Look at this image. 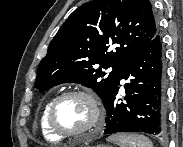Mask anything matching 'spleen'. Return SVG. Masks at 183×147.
I'll return each mask as SVG.
<instances>
[{"label":"spleen","mask_w":183,"mask_h":147,"mask_svg":"<svg viewBox=\"0 0 183 147\" xmlns=\"http://www.w3.org/2000/svg\"><path fill=\"white\" fill-rule=\"evenodd\" d=\"M107 140L119 147H153L152 142L141 134L119 133L109 136Z\"/></svg>","instance_id":"obj_1"}]
</instances>
